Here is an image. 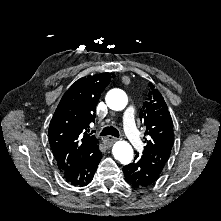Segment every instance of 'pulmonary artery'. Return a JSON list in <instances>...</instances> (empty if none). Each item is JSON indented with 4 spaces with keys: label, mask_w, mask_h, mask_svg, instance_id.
<instances>
[{
    "label": "pulmonary artery",
    "mask_w": 221,
    "mask_h": 221,
    "mask_svg": "<svg viewBox=\"0 0 221 221\" xmlns=\"http://www.w3.org/2000/svg\"><path fill=\"white\" fill-rule=\"evenodd\" d=\"M123 127L126 137L137 148H142V141L137 133L134 122V108L127 107L123 112Z\"/></svg>",
    "instance_id": "1"
}]
</instances>
